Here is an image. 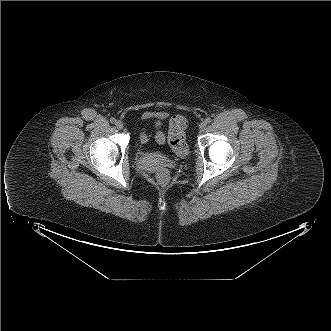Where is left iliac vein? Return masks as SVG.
Here are the masks:
<instances>
[{"mask_svg":"<svg viewBox=\"0 0 331 331\" xmlns=\"http://www.w3.org/2000/svg\"><path fill=\"white\" fill-rule=\"evenodd\" d=\"M199 129L200 131H204L206 129V123L205 122L200 123Z\"/></svg>","mask_w":331,"mask_h":331,"instance_id":"4c4485c4","label":"left iliac vein"}]
</instances>
